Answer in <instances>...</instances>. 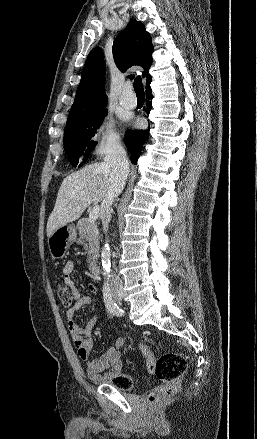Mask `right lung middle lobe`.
Instances as JSON below:
<instances>
[{"instance_id":"1","label":"right lung middle lobe","mask_w":257,"mask_h":439,"mask_svg":"<svg viewBox=\"0 0 257 439\" xmlns=\"http://www.w3.org/2000/svg\"><path fill=\"white\" fill-rule=\"evenodd\" d=\"M106 113L107 109L104 107L97 112L67 121L64 131V149L73 166L79 164V158L84 150H86V156L95 148L97 142L90 139L102 124ZM81 166L82 163L79 164V167Z\"/></svg>"}]
</instances>
